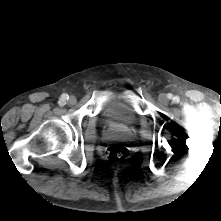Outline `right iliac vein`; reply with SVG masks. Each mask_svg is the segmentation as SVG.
Returning <instances> with one entry per match:
<instances>
[{"mask_svg": "<svg viewBox=\"0 0 221 221\" xmlns=\"http://www.w3.org/2000/svg\"><path fill=\"white\" fill-rule=\"evenodd\" d=\"M70 105H73V104H75L76 103V97H74V96H70L69 98H68V101H67Z\"/></svg>", "mask_w": 221, "mask_h": 221, "instance_id": "obj_1", "label": "right iliac vein"}]
</instances>
